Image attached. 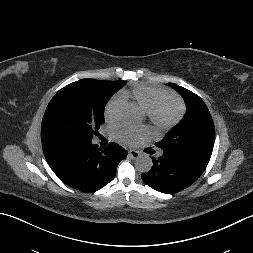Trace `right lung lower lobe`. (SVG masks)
I'll return each instance as SVG.
<instances>
[{"instance_id": "1", "label": "right lung lower lobe", "mask_w": 253, "mask_h": 253, "mask_svg": "<svg viewBox=\"0 0 253 253\" xmlns=\"http://www.w3.org/2000/svg\"><path fill=\"white\" fill-rule=\"evenodd\" d=\"M45 158L59 179L68 186L94 192L108 184L127 153L111 142L104 150L91 142H49L42 145Z\"/></svg>"}]
</instances>
